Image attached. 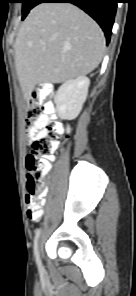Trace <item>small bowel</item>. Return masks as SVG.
<instances>
[{
  "mask_svg": "<svg viewBox=\"0 0 136 296\" xmlns=\"http://www.w3.org/2000/svg\"><path fill=\"white\" fill-rule=\"evenodd\" d=\"M48 120H50V116L47 114V115H45L38 123H37V125L35 126V128L32 130V132H31V134L32 135H35V136H41V135H43L44 133H45V130H44V128H43V123L45 122V121H48ZM42 214H43V211H42V209L40 210V218H41V216H42ZM39 218V219H40ZM35 220H38V219H35Z\"/></svg>",
  "mask_w": 136,
  "mask_h": 296,
  "instance_id": "1",
  "label": "small bowel"
}]
</instances>
